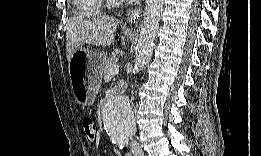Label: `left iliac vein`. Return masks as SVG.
Wrapping results in <instances>:
<instances>
[{
	"label": "left iliac vein",
	"instance_id": "left-iliac-vein-1",
	"mask_svg": "<svg viewBox=\"0 0 261 156\" xmlns=\"http://www.w3.org/2000/svg\"><path fill=\"white\" fill-rule=\"evenodd\" d=\"M131 150H132L133 155H136V156L144 155L143 150L141 149V146L137 142H133L131 144Z\"/></svg>",
	"mask_w": 261,
	"mask_h": 156
}]
</instances>
